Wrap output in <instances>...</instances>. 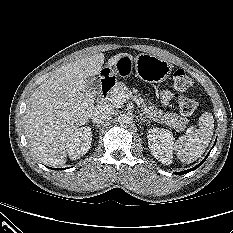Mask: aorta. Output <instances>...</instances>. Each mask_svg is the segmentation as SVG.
Wrapping results in <instances>:
<instances>
[{
  "mask_svg": "<svg viewBox=\"0 0 233 233\" xmlns=\"http://www.w3.org/2000/svg\"><path fill=\"white\" fill-rule=\"evenodd\" d=\"M118 122L123 127H129L133 123V118L128 114H121L118 117Z\"/></svg>",
  "mask_w": 233,
  "mask_h": 233,
  "instance_id": "762f6f07",
  "label": "aorta"
}]
</instances>
